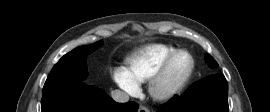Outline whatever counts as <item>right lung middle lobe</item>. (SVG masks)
<instances>
[{"mask_svg":"<svg viewBox=\"0 0 270 112\" xmlns=\"http://www.w3.org/2000/svg\"><path fill=\"white\" fill-rule=\"evenodd\" d=\"M101 44L102 42L98 41L92 45L81 46L64 55L54 65L46 81L61 83L66 80L72 82L83 80L87 74L85 58L100 47Z\"/></svg>","mask_w":270,"mask_h":112,"instance_id":"obj_1","label":"right lung middle lobe"}]
</instances>
